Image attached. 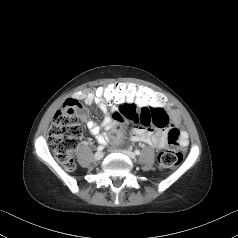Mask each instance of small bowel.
I'll return each instance as SVG.
<instances>
[{
	"label": "small bowel",
	"instance_id": "obj_1",
	"mask_svg": "<svg viewBox=\"0 0 238 238\" xmlns=\"http://www.w3.org/2000/svg\"><path fill=\"white\" fill-rule=\"evenodd\" d=\"M95 90L79 94L77 97L70 99L77 101L78 99H84L87 104L95 103L98 106L100 111L104 114V118L100 124L89 120L87 111L82 107L80 116L85 122L90 134L93 135L98 140V142L106 143L109 140L106 131L115 128L119 122H124V119L131 120L130 118L124 116H122L121 119H117L113 116L115 112L119 113L123 107H127L130 108L135 115L139 116L141 114L142 108L133 104L126 106L120 105L118 103L111 105L105 104L97 98ZM110 110H112V114H110ZM150 116L155 122H157L155 125H150L156 127V130L150 129L148 128L149 126H145L139 122L133 121L135 123L141 124L142 126H135L130 133V138L133 141L146 143L158 149L163 148L168 141L167 127L177 125L180 121V115L176 110L166 109L165 107H156L155 109L150 110ZM180 143L182 146H186L188 144V136L186 132H180Z\"/></svg>",
	"mask_w": 238,
	"mask_h": 238
}]
</instances>
